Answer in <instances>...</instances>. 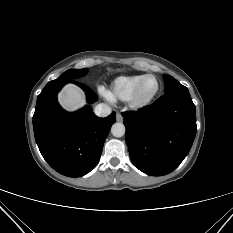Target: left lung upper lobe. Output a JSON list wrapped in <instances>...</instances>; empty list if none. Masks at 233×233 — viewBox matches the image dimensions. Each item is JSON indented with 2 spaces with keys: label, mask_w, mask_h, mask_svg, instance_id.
<instances>
[{
  "label": "left lung upper lobe",
  "mask_w": 233,
  "mask_h": 233,
  "mask_svg": "<svg viewBox=\"0 0 233 233\" xmlns=\"http://www.w3.org/2000/svg\"><path fill=\"white\" fill-rule=\"evenodd\" d=\"M165 83V92H171L175 90L185 89L186 87L180 84L175 78L169 75H163Z\"/></svg>",
  "instance_id": "5c2ea615"
}]
</instances>
